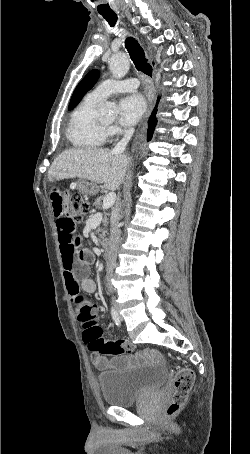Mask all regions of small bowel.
Here are the masks:
<instances>
[{
  "mask_svg": "<svg viewBox=\"0 0 250 454\" xmlns=\"http://www.w3.org/2000/svg\"><path fill=\"white\" fill-rule=\"evenodd\" d=\"M67 194L68 189L66 187H54L50 197L57 217L56 228L64 279L73 307L78 314L79 321H81L88 314L97 315L96 306L86 298L87 294L96 291V283L88 277L89 267L94 256L88 248L80 245V237L76 233V223L72 222L68 216L63 215ZM148 355L152 358H158V354L154 351H150ZM91 359L93 364L101 370L113 366V361L96 352H92ZM130 361L131 359L126 360V362Z\"/></svg>",
  "mask_w": 250,
  "mask_h": 454,
  "instance_id": "c3829d8e",
  "label": "small bowel"
}]
</instances>
